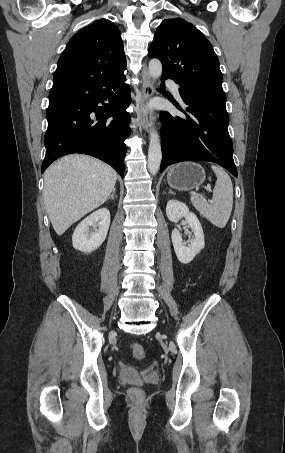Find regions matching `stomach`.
Returning a JSON list of instances; mask_svg holds the SVG:
<instances>
[{"instance_id":"0dacf381","label":"stomach","mask_w":285,"mask_h":453,"mask_svg":"<svg viewBox=\"0 0 285 453\" xmlns=\"http://www.w3.org/2000/svg\"><path fill=\"white\" fill-rule=\"evenodd\" d=\"M205 170L195 162H183L170 168L167 182L173 189L188 191L198 188L205 180Z\"/></svg>"}]
</instances>
